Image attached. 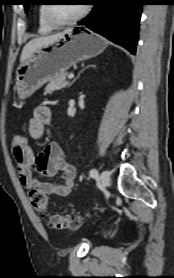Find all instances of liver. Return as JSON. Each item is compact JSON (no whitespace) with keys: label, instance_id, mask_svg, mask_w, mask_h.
<instances>
[{"label":"liver","instance_id":"6515ba94","mask_svg":"<svg viewBox=\"0 0 174 278\" xmlns=\"http://www.w3.org/2000/svg\"><path fill=\"white\" fill-rule=\"evenodd\" d=\"M71 31V29L65 30L63 32L50 35V36H44L39 37L30 40L23 48L21 56H20V62L22 63L25 61L28 57L31 56V54L38 48L53 43L54 41L58 40L60 37H62L64 34Z\"/></svg>","mask_w":174,"mask_h":278}]
</instances>
